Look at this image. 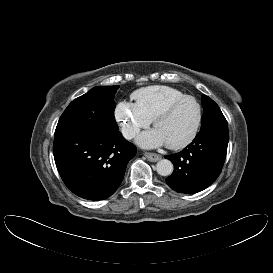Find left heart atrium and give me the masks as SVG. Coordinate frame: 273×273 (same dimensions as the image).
Instances as JSON below:
<instances>
[{"label":"left heart atrium","mask_w":273,"mask_h":273,"mask_svg":"<svg viewBox=\"0 0 273 273\" xmlns=\"http://www.w3.org/2000/svg\"><path fill=\"white\" fill-rule=\"evenodd\" d=\"M136 142L143 148H154L166 144V141L156 129L139 134L136 138Z\"/></svg>","instance_id":"obj_1"}]
</instances>
